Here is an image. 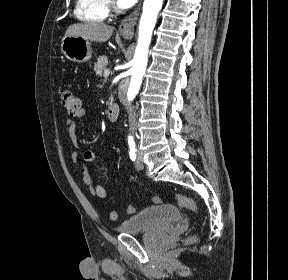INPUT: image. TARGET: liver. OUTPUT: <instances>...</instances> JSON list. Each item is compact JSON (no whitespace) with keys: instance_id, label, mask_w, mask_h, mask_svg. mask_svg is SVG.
Returning <instances> with one entry per match:
<instances>
[{"instance_id":"1","label":"liver","mask_w":288,"mask_h":280,"mask_svg":"<svg viewBox=\"0 0 288 280\" xmlns=\"http://www.w3.org/2000/svg\"><path fill=\"white\" fill-rule=\"evenodd\" d=\"M113 33V27L104 23H77L68 27L65 36H77L99 43L106 42Z\"/></svg>"}]
</instances>
